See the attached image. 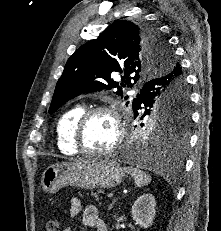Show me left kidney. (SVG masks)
I'll return each mask as SVG.
<instances>
[{
	"label": "left kidney",
	"mask_w": 221,
	"mask_h": 231,
	"mask_svg": "<svg viewBox=\"0 0 221 231\" xmlns=\"http://www.w3.org/2000/svg\"><path fill=\"white\" fill-rule=\"evenodd\" d=\"M156 202L152 194H143L133 204L131 214L133 220L142 228L152 226L156 214Z\"/></svg>",
	"instance_id": "obj_1"
}]
</instances>
